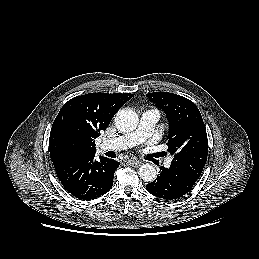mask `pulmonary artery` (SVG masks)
I'll use <instances>...</instances> for the list:
<instances>
[{
	"label": "pulmonary artery",
	"mask_w": 259,
	"mask_h": 259,
	"mask_svg": "<svg viewBox=\"0 0 259 259\" xmlns=\"http://www.w3.org/2000/svg\"><path fill=\"white\" fill-rule=\"evenodd\" d=\"M159 119V113L154 110H146L142 113L138 128L128 134L118 136L112 139H106L102 143L103 149L110 150H124L131 148L145 139H147L153 132L155 124ZM172 159L165 161V166L169 167Z\"/></svg>",
	"instance_id": "obj_1"
}]
</instances>
